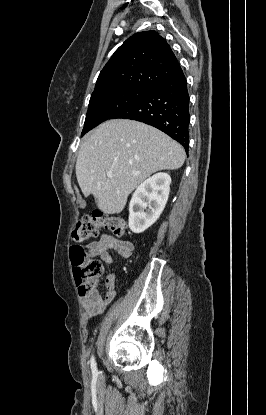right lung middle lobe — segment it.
Listing matches in <instances>:
<instances>
[{"mask_svg": "<svg viewBox=\"0 0 266 415\" xmlns=\"http://www.w3.org/2000/svg\"><path fill=\"white\" fill-rule=\"evenodd\" d=\"M150 90L117 88L92 94L82 135L119 111L143 99Z\"/></svg>", "mask_w": 266, "mask_h": 415, "instance_id": "dd1d6c3e", "label": "right lung middle lobe"}]
</instances>
